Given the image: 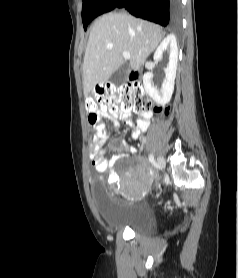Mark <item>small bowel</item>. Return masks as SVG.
<instances>
[{
	"label": "small bowel",
	"instance_id": "obj_1",
	"mask_svg": "<svg viewBox=\"0 0 238 278\" xmlns=\"http://www.w3.org/2000/svg\"><path fill=\"white\" fill-rule=\"evenodd\" d=\"M101 116L111 120L124 121L131 129V138L135 140L140 138L150 127V112L141 113L135 120L131 119L130 112L123 110L102 112ZM108 138L109 133L105 129V123L101 122L95 127V133H93L91 137L92 148L90 152L92 165L98 172H105L109 168H112L120 158L127 157L136 151L133 146L129 145L127 140H122L112 144L120 153L114 154L110 158H105L103 144ZM113 177L115 176L113 175Z\"/></svg>",
	"mask_w": 238,
	"mask_h": 278
}]
</instances>
